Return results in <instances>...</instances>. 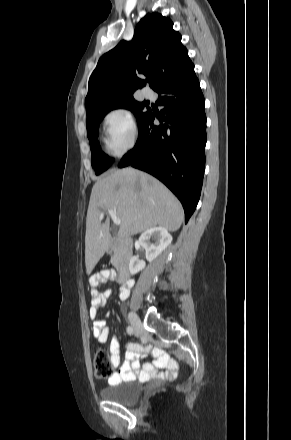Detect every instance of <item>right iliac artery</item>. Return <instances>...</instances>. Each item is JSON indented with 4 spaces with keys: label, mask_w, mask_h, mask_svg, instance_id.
<instances>
[{
    "label": "right iliac artery",
    "mask_w": 291,
    "mask_h": 440,
    "mask_svg": "<svg viewBox=\"0 0 291 440\" xmlns=\"http://www.w3.org/2000/svg\"><path fill=\"white\" fill-rule=\"evenodd\" d=\"M127 333H128L129 335H132V334H133V328H132L131 326H128V327H127Z\"/></svg>",
    "instance_id": "1"
}]
</instances>
